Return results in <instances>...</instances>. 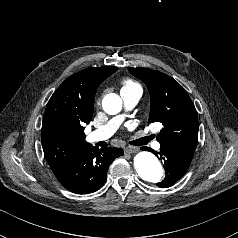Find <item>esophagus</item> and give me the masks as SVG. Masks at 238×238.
Masks as SVG:
<instances>
[{"label": "esophagus", "mask_w": 238, "mask_h": 238, "mask_svg": "<svg viewBox=\"0 0 238 238\" xmlns=\"http://www.w3.org/2000/svg\"><path fill=\"white\" fill-rule=\"evenodd\" d=\"M125 152L126 153H136V152H138V148L137 147H134V146H127V147H125Z\"/></svg>", "instance_id": "esophagus-1"}]
</instances>
